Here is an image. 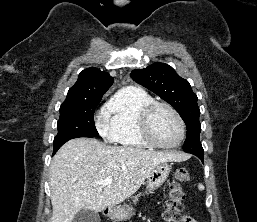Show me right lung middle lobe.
<instances>
[{
	"mask_svg": "<svg viewBox=\"0 0 257 222\" xmlns=\"http://www.w3.org/2000/svg\"><path fill=\"white\" fill-rule=\"evenodd\" d=\"M100 97H86L65 100L60 106V117L57 123L58 134L54 138V149L65 142L78 137H97L99 134L94 124V111Z\"/></svg>",
	"mask_w": 257,
	"mask_h": 222,
	"instance_id": "right-lung-middle-lobe-1",
	"label": "right lung middle lobe"
}]
</instances>
